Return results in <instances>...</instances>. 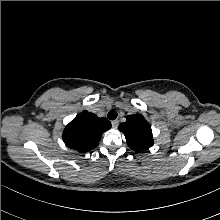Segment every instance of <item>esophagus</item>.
<instances>
[{"mask_svg":"<svg viewBox=\"0 0 220 220\" xmlns=\"http://www.w3.org/2000/svg\"><path fill=\"white\" fill-rule=\"evenodd\" d=\"M112 127L113 128H117L118 127V125H119V121L118 120H114V121H112Z\"/></svg>","mask_w":220,"mask_h":220,"instance_id":"34e87169","label":"esophagus"}]
</instances>
